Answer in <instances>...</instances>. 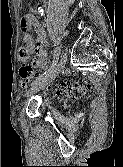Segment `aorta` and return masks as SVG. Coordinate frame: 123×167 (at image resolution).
<instances>
[{"mask_svg": "<svg viewBox=\"0 0 123 167\" xmlns=\"http://www.w3.org/2000/svg\"><path fill=\"white\" fill-rule=\"evenodd\" d=\"M39 13H40L41 15H43V11H42V10H39Z\"/></svg>", "mask_w": 123, "mask_h": 167, "instance_id": "aorta-1", "label": "aorta"}]
</instances>
